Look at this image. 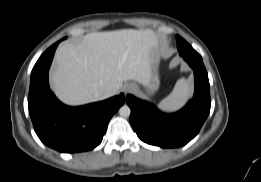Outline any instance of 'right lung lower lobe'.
<instances>
[{"label": "right lung lower lobe", "instance_id": "obj_1", "mask_svg": "<svg viewBox=\"0 0 261 182\" xmlns=\"http://www.w3.org/2000/svg\"><path fill=\"white\" fill-rule=\"evenodd\" d=\"M59 42L48 48L33 67L29 114L36 134L47 146L66 153L88 151L102 141L111 117L124 104V95L80 107L62 104L50 91L48 81Z\"/></svg>", "mask_w": 261, "mask_h": 182}]
</instances>
